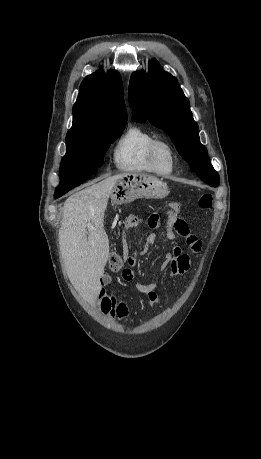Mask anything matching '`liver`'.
Segmentation results:
<instances>
[{"label":"liver","mask_w":261,"mask_h":459,"mask_svg":"<svg viewBox=\"0 0 261 459\" xmlns=\"http://www.w3.org/2000/svg\"><path fill=\"white\" fill-rule=\"evenodd\" d=\"M125 174L114 175L71 195L63 206L59 247L68 277L75 289L94 303L100 278L109 258L104 214L113 188ZM91 224L93 228H88Z\"/></svg>","instance_id":"6515ba94"}]
</instances>
